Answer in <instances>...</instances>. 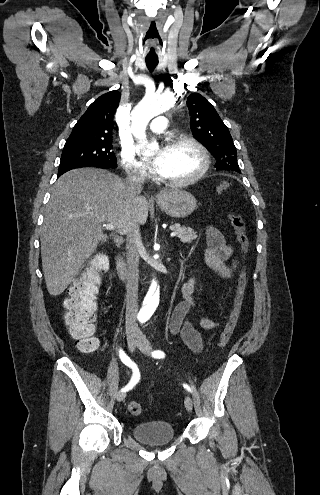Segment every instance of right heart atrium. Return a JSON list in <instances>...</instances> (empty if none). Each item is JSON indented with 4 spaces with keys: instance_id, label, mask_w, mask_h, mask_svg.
<instances>
[{
    "instance_id": "right-heart-atrium-1",
    "label": "right heart atrium",
    "mask_w": 320,
    "mask_h": 495,
    "mask_svg": "<svg viewBox=\"0 0 320 495\" xmlns=\"http://www.w3.org/2000/svg\"><path fill=\"white\" fill-rule=\"evenodd\" d=\"M120 161L125 172L135 178L147 177L146 166L135 156V151L130 146H123L120 152Z\"/></svg>"
}]
</instances>
